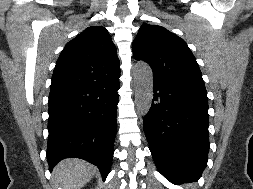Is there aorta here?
<instances>
[{"label":"aorta","mask_w":253,"mask_h":189,"mask_svg":"<svg viewBox=\"0 0 253 189\" xmlns=\"http://www.w3.org/2000/svg\"><path fill=\"white\" fill-rule=\"evenodd\" d=\"M135 84V104L137 112L145 115L149 112L153 99V73L144 62H139L133 70Z\"/></svg>","instance_id":"obj_1"}]
</instances>
